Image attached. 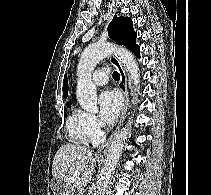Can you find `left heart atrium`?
<instances>
[{
	"label": "left heart atrium",
	"instance_id": "1",
	"mask_svg": "<svg viewBox=\"0 0 211 195\" xmlns=\"http://www.w3.org/2000/svg\"><path fill=\"white\" fill-rule=\"evenodd\" d=\"M99 114L101 119L108 124H112L119 115L121 99L117 92L106 90L99 96Z\"/></svg>",
	"mask_w": 211,
	"mask_h": 195
}]
</instances>
